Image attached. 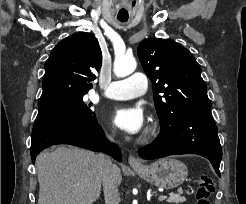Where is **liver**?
<instances>
[{
    "label": "liver",
    "instance_id": "obj_1",
    "mask_svg": "<svg viewBox=\"0 0 246 204\" xmlns=\"http://www.w3.org/2000/svg\"><path fill=\"white\" fill-rule=\"evenodd\" d=\"M38 204H93L101 194L100 155L79 148L56 147L44 151L36 160ZM117 185L122 174L117 167Z\"/></svg>",
    "mask_w": 246,
    "mask_h": 204
}]
</instances>
